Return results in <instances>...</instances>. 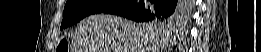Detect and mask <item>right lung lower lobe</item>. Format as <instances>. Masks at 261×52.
<instances>
[{
	"label": "right lung lower lobe",
	"mask_w": 261,
	"mask_h": 52,
	"mask_svg": "<svg viewBox=\"0 0 261 52\" xmlns=\"http://www.w3.org/2000/svg\"><path fill=\"white\" fill-rule=\"evenodd\" d=\"M182 10L178 0H123L103 12L137 22H155L175 19L181 16Z\"/></svg>",
	"instance_id": "1"
}]
</instances>
